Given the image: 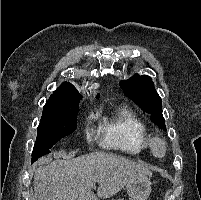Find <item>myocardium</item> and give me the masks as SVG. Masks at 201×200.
Masks as SVG:
<instances>
[{
  "mask_svg": "<svg viewBox=\"0 0 201 200\" xmlns=\"http://www.w3.org/2000/svg\"><path fill=\"white\" fill-rule=\"evenodd\" d=\"M151 150L156 157H163L167 152V144L161 137L151 139Z\"/></svg>",
  "mask_w": 201,
  "mask_h": 200,
  "instance_id": "1",
  "label": "myocardium"
}]
</instances>
